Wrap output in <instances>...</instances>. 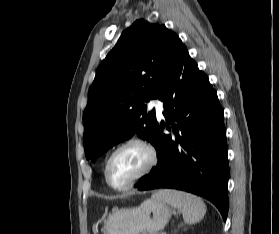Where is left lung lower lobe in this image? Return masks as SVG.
Returning a JSON list of instances; mask_svg holds the SVG:
<instances>
[{"instance_id": "left-lung-lower-lobe-1", "label": "left lung lower lobe", "mask_w": 279, "mask_h": 234, "mask_svg": "<svg viewBox=\"0 0 279 234\" xmlns=\"http://www.w3.org/2000/svg\"><path fill=\"white\" fill-rule=\"evenodd\" d=\"M164 102V122L158 124L155 148L158 164L135 187L174 188L210 200L223 220L228 214V149L224 112L206 74L182 47L158 93Z\"/></svg>"}]
</instances>
